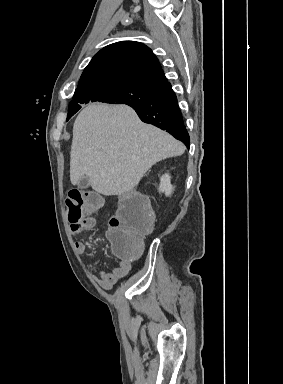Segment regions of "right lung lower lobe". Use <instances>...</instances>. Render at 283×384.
Here are the masks:
<instances>
[{
    "label": "right lung lower lobe",
    "instance_id": "right-lung-lower-lobe-1",
    "mask_svg": "<svg viewBox=\"0 0 283 384\" xmlns=\"http://www.w3.org/2000/svg\"><path fill=\"white\" fill-rule=\"evenodd\" d=\"M129 106L136 111L143 122L167 131L189 148V134L183 122L177 97L169 82L156 90L148 102Z\"/></svg>",
    "mask_w": 283,
    "mask_h": 384
}]
</instances>
